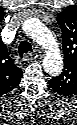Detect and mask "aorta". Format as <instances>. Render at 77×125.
<instances>
[{
    "instance_id": "aorta-1",
    "label": "aorta",
    "mask_w": 77,
    "mask_h": 125,
    "mask_svg": "<svg viewBox=\"0 0 77 125\" xmlns=\"http://www.w3.org/2000/svg\"><path fill=\"white\" fill-rule=\"evenodd\" d=\"M36 37L40 44L48 50V56L45 59V65L48 67L47 69L53 71V67L57 66L58 63H55L56 61L51 58V55L52 53L58 52V44L53 35L42 28H38Z\"/></svg>"
}]
</instances>
